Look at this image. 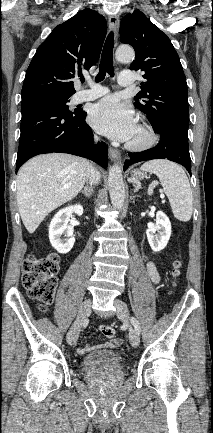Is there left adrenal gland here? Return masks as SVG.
<instances>
[{"label":"left adrenal gland","mask_w":213,"mask_h":433,"mask_svg":"<svg viewBox=\"0 0 213 433\" xmlns=\"http://www.w3.org/2000/svg\"><path fill=\"white\" fill-rule=\"evenodd\" d=\"M133 186H134V193L138 192L141 189V186L138 184L137 185L134 184Z\"/></svg>","instance_id":"obj_1"}]
</instances>
